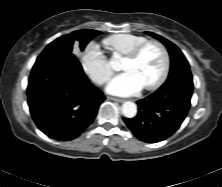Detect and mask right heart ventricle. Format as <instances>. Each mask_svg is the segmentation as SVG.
Listing matches in <instances>:
<instances>
[{
	"mask_svg": "<svg viewBox=\"0 0 222 187\" xmlns=\"http://www.w3.org/2000/svg\"><path fill=\"white\" fill-rule=\"evenodd\" d=\"M145 41H147V39L143 36L122 33L105 38L104 44L113 53L126 56Z\"/></svg>",
	"mask_w": 222,
	"mask_h": 187,
	"instance_id": "1",
	"label": "right heart ventricle"
}]
</instances>
